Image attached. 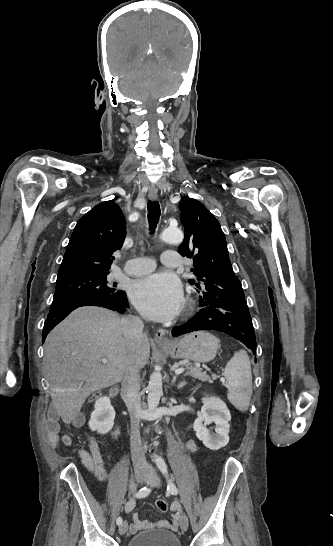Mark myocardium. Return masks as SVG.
I'll use <instances>...</instances> for the list:
<instances>
[{"label":"myocardium","mask_w":333,"mask_h":546,"mask_svg":"<svg viewBox=\"0 0 333 546\" xmlns=\"http://www.w3.org/2000/svg\"><path fill=\"white\" fill-rule=\"evenodd\" d=\"M191 308V303L190 301H186L185 303V306H184V312L187 313Z\"/></svg>","instance_id":"myocardium-1"}]
</instances>
